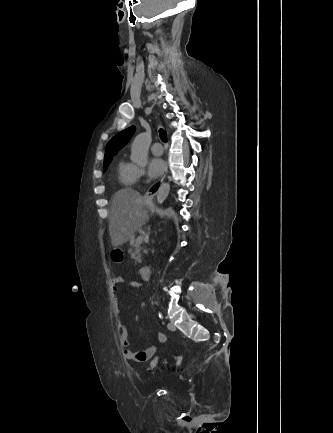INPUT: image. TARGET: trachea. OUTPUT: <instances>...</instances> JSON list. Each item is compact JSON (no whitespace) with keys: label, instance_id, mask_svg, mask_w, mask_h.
<instances>
[{"label":"trachea","instance_id":"3493384b","mask_svg":"<svg viewBox=\"0 0 333 433\" xmlns=\"http://www.w3.org/2000/svg\"><path fill=\"white\" fill-rule=\"evenodd\" d=\"M159 136L163 142H167V132L164 129L159 130Z\"/></svg>","mask_w":333,"mask_h":433}]
</instances>
